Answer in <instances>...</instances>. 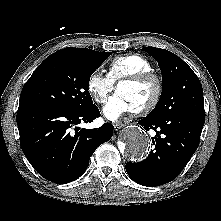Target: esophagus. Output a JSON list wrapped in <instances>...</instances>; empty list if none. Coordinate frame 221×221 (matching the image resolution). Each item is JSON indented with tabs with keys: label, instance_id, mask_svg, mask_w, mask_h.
Wrapping results in <instances>:
<instances>
[{
	"label": "esophagus",
	"instance_id": "esophagus-1",
	"mask_svg": "<svg viewBox=\"0 0 221 221\" xmlns=\"http://www.w3.org/2000/svg\"><path fill=\"white\" fill-rule=\"evenodd\" d=\"M123 127H124V124L121 123V122H116V123H114V128H115L116 131H117V130H120V129L123 128Z\"/></svg>",
	"mask_w": 221,
	"mask_h": 221
}]
</instances>
